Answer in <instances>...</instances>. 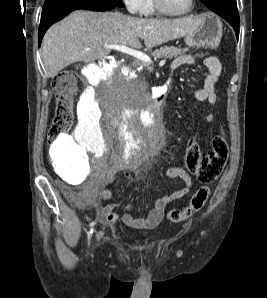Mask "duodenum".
I'll list each match as a JSON object with an SVG mask.
<instances>
[{
    "label": "duodenum",
    "mask_w": 267,
    "mask_h": 298,
    "mask_svg": "<svg viewBox=\"0 0 267 298\" xmlns=\"http://www.w3.org/2000/svg\"><path fill=\"white\" fill-rule=\"evenodd\" d=\"M164 103L163 96H160L158 98H151V100H148V105H153L152 112H158V109H166V104Z\"/></svg>",
    "instance_id": "obj_1"
}]
</instances>
